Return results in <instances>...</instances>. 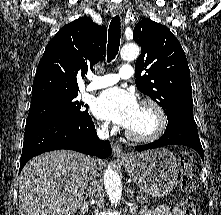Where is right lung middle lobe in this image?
<instances>
[{
  "label": "right lung middle lobe",
  "mask_w": 221,
  "mask_h": 215,
  "mask_svg": "<svg viewBox=\"0 0 221 215\" xmlns=\"http://www.w3.org/2000/svg\"><path fill=\"white\" fill-rule=\"evenodd\" d=\"M75 93L54 94L31 102L26 124L42 120L80 122L89 117L87 106L79 102Z\"/></svg>",
  "instance_id": "right-lung-middle-lobe-1"
}]
</instances>
